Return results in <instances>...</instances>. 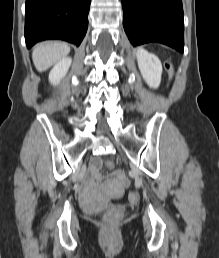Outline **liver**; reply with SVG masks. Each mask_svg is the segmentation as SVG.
Masks as SVG:
<instances>
[{
    "label": "liver",
    "instance_id": "1",
    "mask_svg": "<svg viewBox=\"0 0 219 258\" xmlns=\"http://www.w3.org/2000/svg\"><path fill=\"white\" fill-rule=\"evenodd\" d=\"M69 52L70 47L66 43L44 42L34 48L32 59L36 69L43 72L66 57Z\"/></svg>",
    "mask_w": 219,
    "mask_h": 258
}]
</instances>
